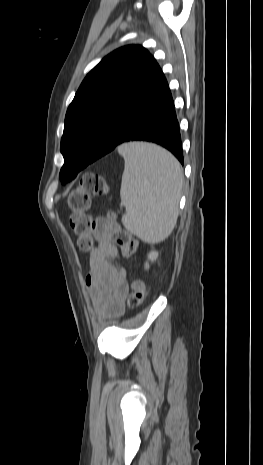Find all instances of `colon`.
Returning <instances> with one entry per match:
<instances>
[{
	"mask_svg": "<svg viewBox=\"0 0 263 465\" xmlns=\"http://www.w3.org/2000/svg\"><path fill=\"white\" fill-rule=\"evenodd\" d=\"M109 186L105 178L94 172L86 173L80 179L78 186L68 196L70 208L69 225L77 236L78 247L82 251H90L94 245L97 228H107L113 242L125 255H132L138 249V243L131 235L122 229L111 217L109 220L93 219L89 214L91 199L108 193ZM147 294V287L142 280H135L127 296V306L130 309L138 308Z\"/></svg>",
	"mask_w": 263,
	"mask_h": 465,
	"instance_id": "5ec220e1",
	"label": "colon"
}]
</instances>
